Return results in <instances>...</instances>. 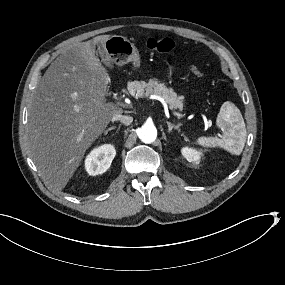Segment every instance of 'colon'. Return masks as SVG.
Returning a JSON list of instances; mask_svg holds the SVG:
<instances>
[{
  "instance_id": "colon-1",
  "label": "colon",
  "mask_w": 285,
  "mask_h": 285,
  "mask_svg": "<svg viewBox=\"0 0 285 285\" xmlns=\"http://www.w3.org/2000/svg\"><path fill=\"white\" fill-rule=\"evenodd\" d=\"M146 47L153 52L169 54L174 51L175 42L171 38H149L146 41ZM189 71L196 77L203 76V72L196 66H190Z\"/></svg>"
}]
</instances>
